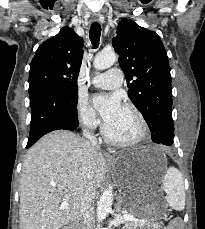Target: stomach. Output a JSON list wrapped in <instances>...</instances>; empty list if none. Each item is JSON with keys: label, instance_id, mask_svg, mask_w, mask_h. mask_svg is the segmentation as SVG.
I'll return each mask as SVG.
<instances>
[{"label": "stomach", "instance_id": "obj_1", "mask_svg": "<svg viewBox=\"0 0 205 229\" xmlns=\"http://www.w3.org/2000/svg\"><path fill=\"white\" fill-rule=\"evenodd\" d=\"M126 204L135 214L161 213L162 199L153 194L152 181L166 170V158L149 147L122 152L111 164Z\"/></svg>", "mask_w": 205, "mask_h": 229}]
</instances>
